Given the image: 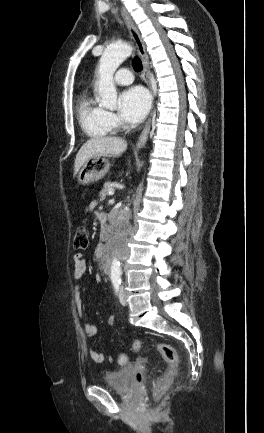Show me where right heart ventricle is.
Returning <instances> with one entry per match:
<instances>
[{
	"label": "right heart ventricle",
	"instance_id": "1",
	"mask_svg": "<svg viewBox=\"0 0 264 433\" xmlns=\"http://www.w3.org/2000/svg\"><path fill=\"white\" fill-rule=\"evenodd\" d=\"M77 116L84 133L91 138H101L113 132L108 112L89 93H83L77 103Z\"/></svg>",
	"mask_w": 264,
	"mask_h": 433
}]
</instances>
